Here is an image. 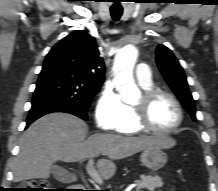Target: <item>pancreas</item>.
Here are the masks:
<instances>
[{
  "mask_svg": "<svg viewBox=\"0 0 218 191\" xmlns=\"http://www.w3.org/2000/svg\"><path fill=\"white\" fill-rule=\"evenodd\" d=\"M139 184L138 188H145L149 191H154L156 188H160L163 185L162 178L159 176H145L142 175L140 180H136Z\"/></svg>",
  "mask_w": 218,
  "mask_h": 191,
  "instance_id": "pancreas-1",
  "label": "pancreas"
}]
</instances>
